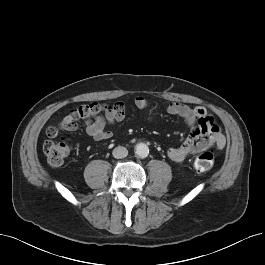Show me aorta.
Returning a JSON list of instances; mask_svg holds the SVG:
<instances>
[{"label": "aorta", "mask_w": 265, "mask_h": 265, "mask_svg": "<svg viewBox=\"0 0 265 265\" xmlns=\"http://www.w3.org/2000/svg\"><path fill=\"white\" fill-rule=\"evenodd\" d=\"M135 153L141 158L147 157L149 154V147L145 143H138L135 146Z\"/></svg>", "instance_id": "1"}]
</instances>
